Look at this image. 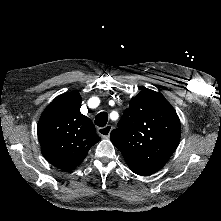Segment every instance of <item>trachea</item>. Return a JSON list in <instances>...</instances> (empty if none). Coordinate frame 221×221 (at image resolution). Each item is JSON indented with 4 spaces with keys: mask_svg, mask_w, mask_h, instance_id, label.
<instances>
[{
    "mask_svg": "<svg viewBox=\"0 0 221 221\" xmlns=\"http://www.w3.org/2000/svg\"><path fill=\"white\" fill-rule=\"evenodd\" d=\"M107 122H108V114L106 112H100L95 117V124L99 127L106 126Z\"/></svg>",
    "mask_w": 221,
    "mask_h": 221,
    "instance_id": "1",
    "label": "trachea"
}]
</instances>
